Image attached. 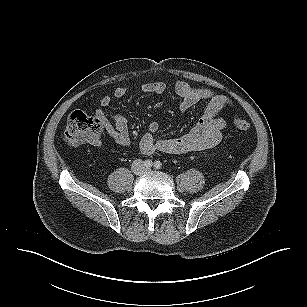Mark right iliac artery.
<instances>
[{
    "label": "right iliac artery",
    "instance_id": "82829eb1",
    "mask_svg": "<svg viewBox=\"0 0 307 307\" xmlns=\"http://www.w3.org/2000/svg\"><path fill=\"white\" fill-rule=\"evenodd\" d=\"M152 165H153L152 160H150V159L145 160L144 166H145L146 168H150V167H152Z\"/></svg>",
    "mask_w": 307,
    "mask_h": 307
}]
</instances>
